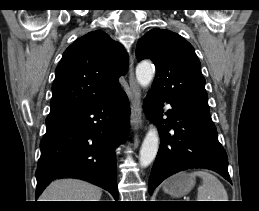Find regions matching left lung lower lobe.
Listing matches in <instances>:
<instances>
[{"instance_id": "left-lung-lower-lobe-1", "label": "left lung lower lobe", "mask_w": 259, "mask_h": 211, "mask_svg": "<svg viewBox=\"0 0 259 211\" xmlns=\"http://www.w3.org/2000/svg\"><path fill=\"white\" fill-rule=\"evenodd\" d=\"M158 97L172 107L165 113L167 119H162L163 105ZM144 111L157 123L161 139L150 174V194L167 177L191 168L213 170L231 182L227 154L218 141L209 110L177 103L150 90Z\"/></svg>"}]
</instances>
